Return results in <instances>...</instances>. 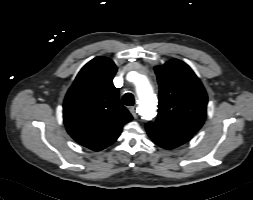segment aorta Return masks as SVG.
<instances>
[{"mask_svg":"<svg viewBox=\"0 0 253 200\" xmlns=\"http://www.w3.org/2000/svg\"><path fill=\"white\" fill-rule=\"evenodd\" d=\"M136 93L139 98V112L144 120L150 121L156 116L157 99L149 79L142 74L135 78Z\"/></svg>","mask_w":253,"mask_h":200,"instance_id":"762f6f07","label":"aorta"}]
</instances>
